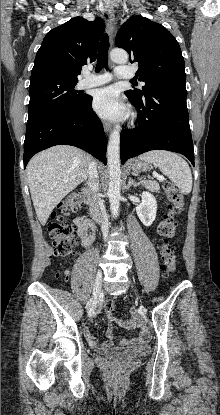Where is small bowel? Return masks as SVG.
Masks as SVG:
<instances>
[{"label":"small bowel","instance_id":"1","mask_svg":"<svg viewBox=\"0 0 220 415\" xmlns=\"http://www.w3.org/2000/svg\"><path fill=\"white\" fill-rule=\"evenodd\" d=\"M74 224L76 226L77 234L81 244L86 248H90L95 240V235L91 233V231L95 230L94 223L87 216H80L74 219ZM83 334L91 347L99 348L101 351L109 350L113 345V340L111 338L103 343H99L88 327L83 329ZM143 341L144 339L142 336H140L132 340H120L117 342V345L120 347H126L130 345L139 346L143 344Z\"/></svg>","mask_w":220,"mask_h":415}]
</instances>
